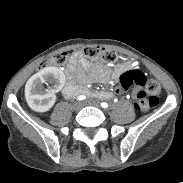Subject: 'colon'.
<instances>
[{
    "instance_id": "obj_1",
    "label": "colon",
    "mask_w": 183,
    "mask_h": 183,
    "mask_svg": "<svg viewBox=\"0 0 183 183\" xmlns=\"http://www.w3.org/2000/svg\"><path fill=\"white\" fill-rule=\"evenodd\" d=\"M83 53L90 60L101 61L106 64H112L119 60V56L115 52L99 46H87L83 49ZM68 60V53H56L41 61L38 69L64 65ZM133 86L140 87L134 103L138 111L147 112L158 105L159 95L162 91L160 84L154 78L146 77L139 70H129L122 73L119 77V85L115 88L114 93L116 96L121 97Z\"/></svg>"
}]
</instances>
